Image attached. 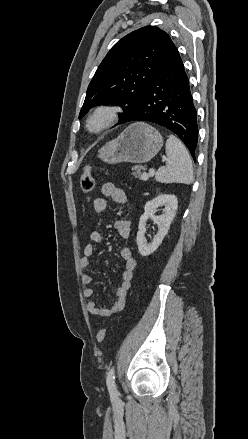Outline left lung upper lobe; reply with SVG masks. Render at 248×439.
I'll return each instance as SVG.
<instances>
[{
    "label": "left lung upper lobe",
    "mask_w": 248,
    "mask_h": 439,
    "mask_svg": "<svg viewBox=\"0 0 248 439\" xmlns=\"http://www.w3.org/2000/svg\"><path fill=\"white\" fill-rule=\"evenodd\" d=\"M175 49L169 35L155 26L120 39L95 72L79 118L96 105L110 103L122 107L119 123H123Z\"/></svg>",
    "instance_id": "5c2ea615"
}]
</instances>
